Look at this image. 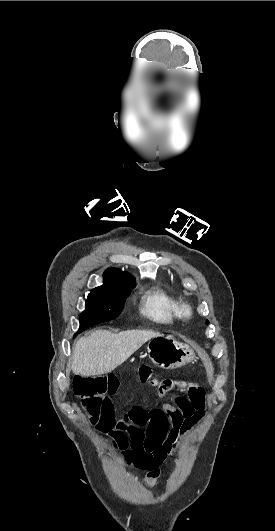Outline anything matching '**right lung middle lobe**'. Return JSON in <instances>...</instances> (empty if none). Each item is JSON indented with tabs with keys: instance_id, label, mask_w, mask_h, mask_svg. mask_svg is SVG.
Wrapping results in <instances>:
<instances>
[{
	"instance_id": "1",
	"label": "right lung middle lobe",
	"mask_w": 275,
	"mask_h": 531,
	"mask_svg": "<svg viewBox=\"0 0 275 531\" xmlns=\"http://www.w3.org/2000/svg\"><path fill=\"white\" fill-rule=\"evenodd\" d=\"M133 284L134 282L126 286H99L92 289L87 296L85 310L80 315L78 332L117 318Z\"/></svg>"
}]
</instances>
